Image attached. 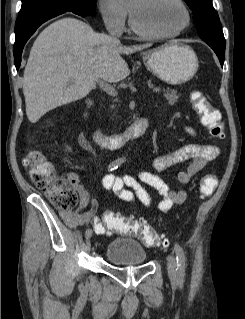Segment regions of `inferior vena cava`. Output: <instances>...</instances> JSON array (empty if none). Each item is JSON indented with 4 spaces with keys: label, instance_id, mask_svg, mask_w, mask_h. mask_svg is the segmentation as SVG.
<instances>
[{
    "label": "inferior vena cava",
    "instance_id": "602c4592",
    "mask_svg": "<svg viewBox=\"0 0 245 319\" xmlns=\"http://www.w3.org/2000/svg\"><path fill=\"white\" fill-rule=\"evenodd\" d=\"M110 35H111L112 39L117 40V38L115 37V35L112 32H110Z\"/></svg>",
    "mask_w": 245,
    "mask_h": 319
}]
</instances>
